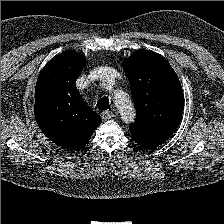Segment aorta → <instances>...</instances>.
<instances>
[{
	"label": "aorta",
	"mask_w": 224,
	"mask_h": 224,
	"mask_svg": "<svg viewBox=\"0 0 224 224\" xmlns=\"http://www.w3.org/2000/svg\"><path fill=\"white\" fill-rule=\"evenodd\" d=\"M114 102L120 112L121 118L124 122L130 123L135 119L134 105L129 96L124 92H116L114 94Z\"/></svg>",
	"instance_id": "762f6f07"
}]
</instances>
